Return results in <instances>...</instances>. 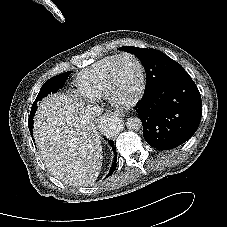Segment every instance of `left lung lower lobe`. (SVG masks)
<instances>
[{
  "instance_id": "1",
  "label": "left lung lower lobe",
  "mask_w": 227,
  "mask_h": 227,
  "mask_svg": "<svg viewBox=\"0 0 227 227\" xmlns=\"http://www.w3.org/2000/svg\"><path fill=\"white\" fill-rule=\"evenodd\" d=\"M134 109L142 121L145 141L167 150L183 144L196 132L202 103L197 86L184 72L145 90Z\"/></svg>"
}]
</instances>
